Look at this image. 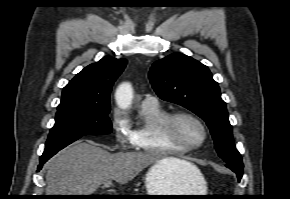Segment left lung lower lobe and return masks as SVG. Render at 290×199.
I'll use <instances>...</instances> for the list:
<instances>
[{
	"mask_svg": "<svg viewBox=\"0 0 290 199\" xmlns=\"http://www.w3.org/2000/svg\"><path fill=\"white\" fill-rule=\"evenodd\" d=\"M226 166L237 174L238 181H240L243 175V164L227 163Z\"/></svg>",
	"mask_w": 290,
	"mask_h": 199,
	"instance_id": "left-lung-lower-lobe-1",
	"label": "left lung lower lobe"
}]
</instances>
